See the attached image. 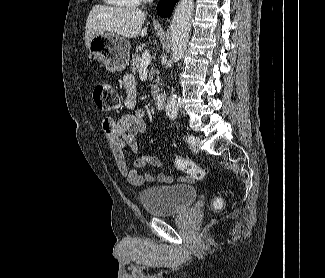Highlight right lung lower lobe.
Wrapping results in <instances>:
<instances>
[{
    "instance_id": "right-lung-lower-lobe-1",
    "label": "right lung lower lobe",
    "mask_w": 325,
    "mask_h": 278,
    "mask_svg": "<svg viewBox=\"0 0 325 278\" xmlns=\"http://www.w3.org/2000/svg\"><path fill=\"white\" fill-rule=\"evenodd\" d=\"M177 0H160L157 5V13L161 17H169Z\"/></svg>"
}]
</instances>
